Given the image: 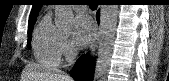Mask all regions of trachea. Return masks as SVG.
Wrapping results in <instances>:
<instances>
[{
    "label": "trachea",
    "mask_w": 169,
    "mask_h": 81,
    "mask_svg": "<svg viewBox=\"0 0 169 81\" xmlns=\"http://www.w3.org/2000/svg\"><path fill=\"white\" fill-rule=\"evenodd\" d=\"M97 5L98 4L96 2H94V1H91L90 4H89V6H90L91 9H96Z\"/></svg>",
    "instance_id": "1"
}]
</instances>
